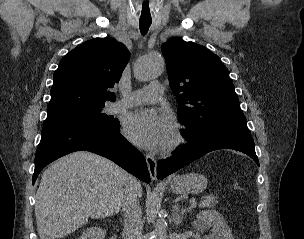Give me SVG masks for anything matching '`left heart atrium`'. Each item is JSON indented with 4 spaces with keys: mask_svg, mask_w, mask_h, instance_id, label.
<instances>
[{
    "mask_svg": "<svg viewBox=\"0 0 304 239\" xmlns=\"http://www.w3.org/2000/svg\"><path fill=\"white\" fill-rule=\"evenodd\" d=\"M175 130L172 118L155 110H140L125 123V133L135 144L147 149H159L171 140Z\"/></svg>",
    "mask_w": 304,
    "mask_h": 239,
    "instance_id": "39dd6f15",
    "label": "left heart atrium"
}]
</instances>
